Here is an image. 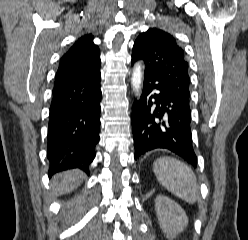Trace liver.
<instances>
[{"mask_svg": "<svg viewBox=\"0 0 248 240\" xmlns=\"http://www.w3.org/2000/svg\"><path fill=\"white\" fill-rule=\"evenodd\" d=\"M84 173L80 170H70L56 175L52 180L53 191L59 195L69 193L80 185Z\"/></svg>", "mask_w": 248, "mask_h": 240, "instance_id": "1", "label": "liver"}]
</instances>
